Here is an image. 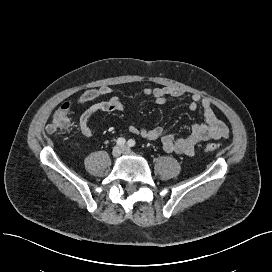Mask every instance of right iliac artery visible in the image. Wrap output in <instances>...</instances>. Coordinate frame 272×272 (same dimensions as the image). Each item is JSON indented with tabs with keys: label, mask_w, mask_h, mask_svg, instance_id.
I'll use <instances>...</instances> for the list:
<instances>
[{
	"label": "right iliac artery",
	"mask_w": 272,
	"mask_h": 272,
	"mask_svg": "<svg viewBox=\"0 0 272 272\" xmlns=\"http://www.w3.org/2000/svg\"><path fill=\"white\" fill-rule=\"evenodd\" d=\"M126 140L124 138H118L117 139V144L120 146H123L125 144Z\"/></svg>",
	"instance_id": "obj_1"
}]
</instances>
